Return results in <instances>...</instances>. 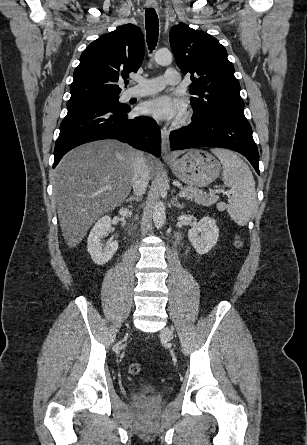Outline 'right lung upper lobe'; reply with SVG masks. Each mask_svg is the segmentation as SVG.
Listing matches in <instances>:
<instances>
[{
    "label": "right lung upper lobe",
    "mask_w": 307,
    "mask_h": 445,
    "mask_svg": "<svg viewBox=\"0 0 307 445\" xmlns=\"http://www.w3.org/2000/svg\"><path fill=\"white\" fill-rule=\"evenodd\" d=\"M144 57V38L139 27L122 25L102 35L81 54L70 87L71 98L119 95L118 81L137 72Z\"/></svg>",
    "instance_id": "obj_1"
}]
</instances>
